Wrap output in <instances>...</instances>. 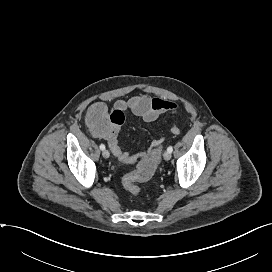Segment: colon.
<instances>
[{
    "label": "colon",
    "mask_w": 272,
    "mask_h": 272,
    "mask_svg": "<svg viewBox=\"0 0 272 272\" xmlns=\"http://www.w3.org/2000/svg\"><path fill=\"white\" fill-rule=\"evenodd\" d=\"M124 121V113L120 110L109 111L105 104L97 102L92 104L87 112V123L90 128L101 133L110 127H118ZM160 154V148L155 149L150 157L143 159L137 166L136 170L127 174L123 180V187L133 195L140 193L138 182L149 180L156 169L157 161Z\"/></svg>",
    "instance_id": "5ec220e1"
}]
</instances>
